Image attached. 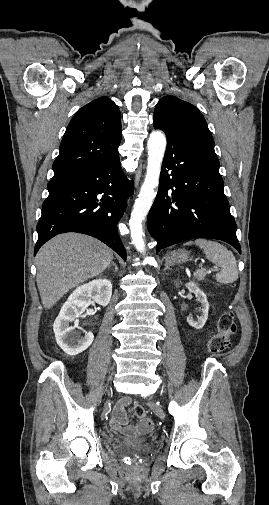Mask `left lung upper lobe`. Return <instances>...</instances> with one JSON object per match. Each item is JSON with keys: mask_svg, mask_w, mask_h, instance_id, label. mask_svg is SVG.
Segmentation results:
<instances>
[{"mask_svg": "<svg viewBox=\"0 0 269 505\" xmlns=\"http://www.w3.org/2000/svg\"><path fill=\"white\" fill-rule=\"evenodd\" d=\"M154 122L164 128L200 135L214 143L200 111L192 104L177 97L165 96L159 100L154 110Z\"/></svg>", "mask_w": 269, "mask_h": 505, "instance_id": "5c2ea615", "label": "left lung upper lobe"}]
</instances>
